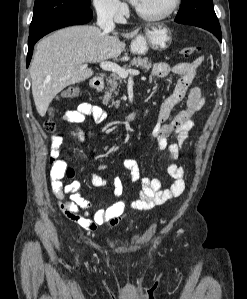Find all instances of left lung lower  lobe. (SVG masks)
Returning <instances> with one entry per match:
<instances>
[{
  "mask_svg": "<svg viewBox=\"0 0 247 299\" xmlns=\"http://www.w3.org/2000/svg\"><path fill=\"white\" fill-rule=\"evenodd\" d=\"M174 21L180 24H187V25L201 27L205 30L212 32L220 42L222 41L221 27L219 24L212 23L200 17H188V18L178 19Z\"/></svg>",
  "mask_w": 247,
  "mask_h": 299,
  "instance_id": "left-lung-lower-lobe-1",
  "label": "left lung lower lobe"
}]
</instances>
